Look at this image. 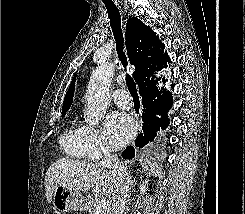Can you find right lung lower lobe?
<instances>
[{
	"mask_svg": "<svg viewBox=\"0 0 245 214\" xmlns=\"http://www.w3.org/2000/svg\"><path fill=\"white\" fill-rule=\"evenodd\" d=\"M170 61V58L167 60ZM167 61L163 64L156 66L154 70L145 76V78L139 84L140 95L142 96L143 104V132L144 134L138 135L135 140V145L137 147H144L148 142L153 141L156 136V132L165 129L169 120L167 117V112L172 106V94L166 89H161L160 91L155 86L156 81L153 76L155 71L167 67ZM166 80L164 81V83ZM156 115H161V118H156ZM135 155V149L129 146L122 153V157L125 159H131Z\"/></svg>",
	"mask_w": 245,
	"mask_h": 214,
	"instance_id": "98d812e1",
	"label": "right lung lower lobe"
}]
</instances>
